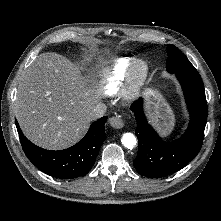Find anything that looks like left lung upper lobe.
I'll list each match as a JSON object with an SVG mask.
<instances>
[{
    "instance_id": "left-lung-upper-lobe-1",
    "label": "left lung upper lobe",
    "mask_w": 221,
    "mask_h": 221,
    "mask_svg": "<svg viewBox=\"0 0 221 221\" xmlns=\"http://www.w3.org/2000/svg\"><path fill=\"white\" fill-rule=\"evenodd\" d=\"M167 64L166 68L169 73H177L184 70H195L194 66L187 57L180 52L174 45L169 44L167 47Z\"/></svg>"
}]
</instances>
